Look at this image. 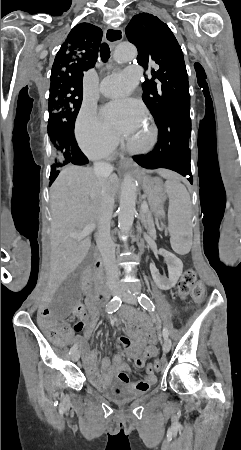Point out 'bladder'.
<instances>
[{"mask_svg": "<svg viewBox=\"0 0 241 450\" xmlns=\"http://www.w3.org/2000/svg\"><path fill=\"white\" fill-rule=\"evenodd\" d=\"M104 394L110 400L118 403L129 402L140 396V392L119 381L109 386Z\"/></svg>", "mask_w": 241, "mask_h": 450, "instance_id": "bladder-1", "label": "bladder"}]
</instances>
